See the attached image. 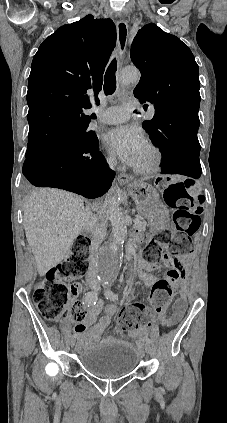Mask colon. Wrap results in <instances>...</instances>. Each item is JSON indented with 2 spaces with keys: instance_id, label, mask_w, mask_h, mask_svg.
Masks as SVG:
<instances>
[{
  "instance_id": "obj_1",
  "label": "colon",
  "mask_w": 227,
  "mask_h": 423,
  "mask_svg": "<svg viewBox=\"0 0 227 423\" xmlns=\"http://www.w3.org/2000/svg\"><path fill=\"white\" fill-rule=\"evenodd\" d=\"M157 186L163 190L166 204L174 209V232L165 230L159 234L144 253L146 261L154 263L163 260L169 267L166 278L153 285L150 295L152 309L161 313L169 306L176 283L184 276L176 256L192 249V237L200 227L202 206L192 193L191 181L169 182L158 179ZM89 245L90 239L87 236H78L65 260L49 270L36 284L33 301L45 319L53 322L61 319L64 307L76 293L75 285L69 282L84 275L88 269ZM164 246L169 248V254L164 252ZM149 311L142 303L123 307L119 313V324L125 329L137 330L149 324L145 317ZM72 316L75 321H81L84 317L83 308L75 306Z\"/></svg>"
}]
</instances>
